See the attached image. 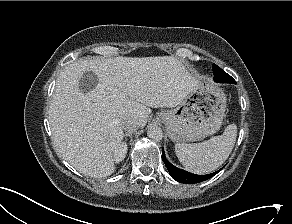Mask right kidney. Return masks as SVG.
<instances>
[{
  "label": "right kidney",
  "instance_id": "1",
  "mask_svg": "<svg viewBox=\"0 0 292 224\" xmlns=\"http://www.w3.org/2000/svg\"><path fill=\"white\" fill-rule=\"evenodd\" d=\"M127 153L126 143H121V145L114 151L113 159L115 163H119L124 160Z\"/></svg>",
  "mask_w": 292,
  "mask_h": 224
}]
</instances>
